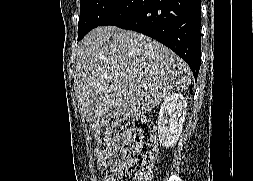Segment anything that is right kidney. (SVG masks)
<instances>
[{"instance_id": "obj_1", "label": "right kidney", "mask_w": 253, "mask_h": 181, "mask_svg": "<svg viewBox=\"0 0 253 181\" xmlns=\"http://www.w3.org/2000/svg\"><path fill=\"white\" fill-rule=\"evenodd\" d=\"M187 103L180 93H172L161 104L158 117V136L164 147H173L178 141L186 115Z\"/></svg>"}]
</instances>
